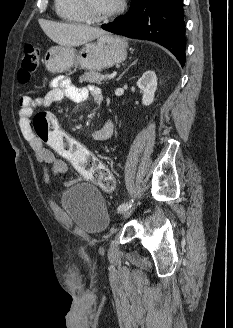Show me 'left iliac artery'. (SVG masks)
Instances as JSON below:
<instances>
[{
  "mask_svg": "<svg viewBox=\"0 0 233 328\" xmlns=\"http://www.w3.org/2000/svg\"><path fill=\"white\" fill-rule=\"evenodd\" d=\"M133 202V200H132ZM129 207H131V201L130 202H127V203H123L121 204L118 208H117V211L118 212H124L125 210H127Z\"/></svg>",
  "mask_w": 233,
  "mask_h": 328,
  "instance_id": "1",
  "label": "left iliac artery"
}]
</instances>
